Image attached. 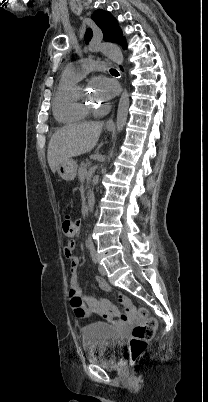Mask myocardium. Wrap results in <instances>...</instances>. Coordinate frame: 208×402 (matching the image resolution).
<instances>
[{
  "instance_id": "1",
  "label": "myocardium",
  "mask_w": 208,
  "mask_h": 402,
  "mask_svg": "<svg viewBox=\"0 0 208 402\" xmlns=\"http://www.w3.org/2000/svg\"><path fill=\"white\" fill-rule=\"evenodd\" d=\"M84 98V88L82 86H79L74 94V104L80 111L84 113H89L93 111L96 106L94 105V102H86Z\"/></svg>"
}]
</instances>
